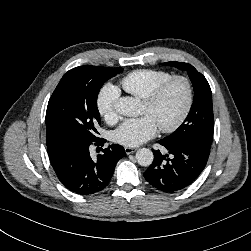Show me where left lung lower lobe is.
I'll return each instance as SVG.
<instances>
[{
    "instance_id": "1",
    "label": "left lung lower lobe",
    "mask_w": 251,
    "mask_h": 251,
    "mask_svg": "<svg viewBox=\"0 0 251 251\" xmlns=\"http://www.w3.org/2000/svg\"><path fill=\"white\" fill-rule=\"evenodd\" d=\"M164 146L172 157L153 151L154 160L144 172L145 179L156 189L174 193L192 184L205 168L210 148L194 140L181 141Z\"/></svg>"
}]
</instances>
